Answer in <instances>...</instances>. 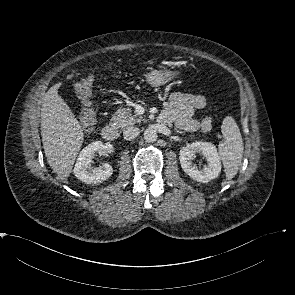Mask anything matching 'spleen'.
<instances>
[{"instance_id": "3e777b00", "label": "spleen", "mask_w": 295, "mask_h": 295, "mask_svg": "<svg viewBox=\"0 0 295 295\" xmlns=\"http://www.w3.org/2000/svg\"><path fill=\"white\" fill-rule=\"evenodd\" d=\"M223 141L220 142L219 157L222 160L227 180L238 172L243 157V140L235 120L227 116L221 126Z\"/></svg>"}]
</instances>
